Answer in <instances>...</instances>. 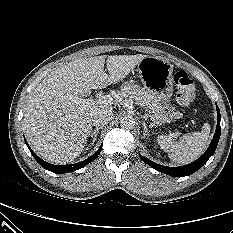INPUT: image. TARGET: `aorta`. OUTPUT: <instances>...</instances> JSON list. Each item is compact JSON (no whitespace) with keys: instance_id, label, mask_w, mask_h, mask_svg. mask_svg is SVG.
<instances>
[{"instance_id":"aorta-1","label":"aorta","mask_w":233,"mask_h":233,"mask_svg":"<svg viewBox=\"0 0 233 233\" xmlns=\"http://www.w3.org/2000/svg\"><path fill=\"white\" fill-rule=\"evenodd\" d=\"M120 126L125 129H133L135 127V121L131 116H123L120 119Z\"/></svg>"}]
</instances>
